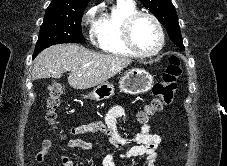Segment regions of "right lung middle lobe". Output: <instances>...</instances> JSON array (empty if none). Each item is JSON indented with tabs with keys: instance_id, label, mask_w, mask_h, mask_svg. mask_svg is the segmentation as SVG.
<instances>
[{
	"instance_id": "dd1d6c3e",
	"label": "right lung middle lobe",
	"mask_w": 227,
	"mask_h": 166,
	"mask_svg": "<svg viewBox=\"0 0 227 166\" xmlns=\"http://www.w3.org/2000/svg\"><path fill=\"white\" fill-rule=\"evenodd\" d=\"M83 11H46L34 57L43 49L60 43H84L81 34Z\"/></svg>"
}]
</instances>
